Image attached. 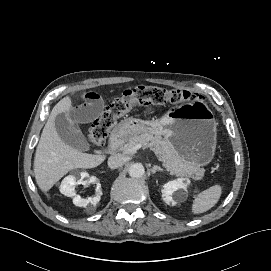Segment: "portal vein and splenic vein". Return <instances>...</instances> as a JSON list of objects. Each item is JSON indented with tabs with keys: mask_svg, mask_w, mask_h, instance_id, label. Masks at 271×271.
I'll return each instance as SVG.
<instances>
[{
	"mask_svg": "<svg viewBox=\"0 0 271 271\" xmlns=\"http://www.w3.org/2000/svg\"><path fill=\"white\" fill-rule=\"evenodd\" d=\"M140 148H146V146L142 145V144H137L135 146H133L132 148L126 150L124 153H130V152H135Z\"/></svg>",
	"mask_w": 271,
	"mask_h": 271,
	"instance_id": "18ae733b",
	"label": "portal vein and splenic vein"
}]
</instances>
